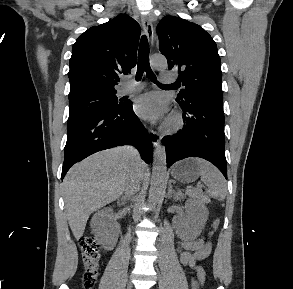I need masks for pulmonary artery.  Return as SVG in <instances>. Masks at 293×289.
Returning <instances> with one entry per match:
<instances>
[{"instance_id":"pulmonary-artery-1","label":"pulmonary artery","mask_w":293,"mask_h":289,"mask_svg":"<svg viewBox=\"0 0 293 289\" xmlns=\"http://www.w3.org/2000/svg\"><path fill=\"white\" fill-rule=\"evenodd\" d=\"M160 80L164 83H169V82L174 81V77L171 72H162L161 76H160ZM144 86H145V84L143 82L130 80L123 85V87L121 89V94L125 95V94L139 91V90L143 89Z\"/></svg>"}]
</instances>
